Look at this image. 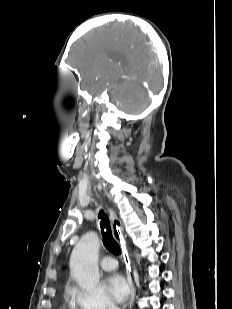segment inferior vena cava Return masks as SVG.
I'll use <instances>...</instances> for the list:
<instances>
[{
	"instance_id": "inferior-vena-cava-1",
	"label": "inferior vena cava",
	"mask_w": 232,
	"mask_h": 309,
	"mask_svg": "<svg viewBox=\"0 0 232 309\" xmlns=\"http://www.w3.org/2000/svg\"><path fill=\"white\" fill-rule=\"evenodd\" d=\"M109 309H119L118 307H116L114 304H112Z\"/></svg>"
}]
</instances>
